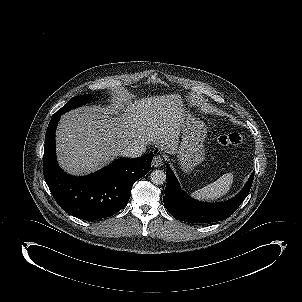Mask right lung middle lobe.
Listing matches in <instances>:
<instances>
[{"label":"right lung middle lobe","mask_w":302,"mask_h":302,"mask_svg":"<svg viewBox=\"0 0 302 302\" xmlns=\"http://www.w3.org/2000/svg\"><path fill=\"white\" fill-rule=\"evenodd\" d=\"M91 100L90 95H81L71 98L60 110L57 111L58 114H63L71 109L81 106Z\"/></svg>","instance_id":"dd1d6c3e"}]
</instances>
